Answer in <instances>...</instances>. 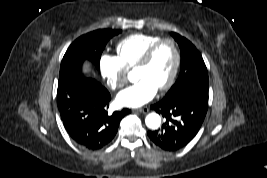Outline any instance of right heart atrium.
Here are the masks:
<instances>
[{"instance_id": "obj_1", "label": "right heart atrium", "mask_w": 267, "mask_h": 178, "mask_svg": "<svg viewBox=\"0 0 267 178\" xmlns=\"http://www.w3.org/2000/svg\"><path fill=\"white\" fill-rule=\"evenodd\" d=\"M99 68L103 79L111 89H120L126 83L127 69L115 56L103 54L99 60Z\"/></svg>"}]
</instances>
